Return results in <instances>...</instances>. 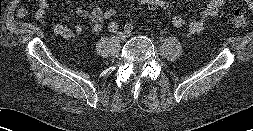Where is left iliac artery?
<instances>
[{"label": "left iliac artery", "mask_w": 253, "mask_h": 131, "mask_svg": "<svg viewBox=\"0 0 253 131\" xmlns=\"http://www.w3.org/2000/svg\"><path fill=\"white\" fill-rule=\"evenodd\" d=\"M133 28H134V27H133V24H131V23H127V24L125 25V27H124V29H125L126 32L132 31Z\"/></svg>", "instance_id": "44dca946"}]
</instances>
